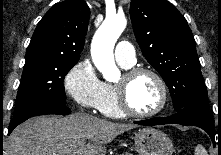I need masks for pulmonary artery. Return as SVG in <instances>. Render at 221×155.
<instances>
[{
  "label": "pulmonary artery",
  "mask_w": 221,
  "mask_h": 155,
  "mask_svg": "<svg viewBox=\"0 0 221 155\" xmlns=\"http://www.w3.org/2000/svg\"><path fill=\"white\" fill-rule=\"evenodd\" d=\"M114 54L116 61L125 66L130 67L136 61L134 48L128 41H120L116 45Z\"/></svg>",
  "instance_id": "pulmonary-artery-1"
}]
</instances>
